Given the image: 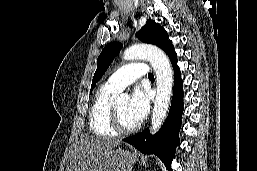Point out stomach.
<instances>
[{"label":"stomach","instance_id":"stomach-1","mask_svg":"<svg viewBox=\"0 0 257 171\" xmlns=\"http://www.w3.org/2000/svg\"><path fill=\"white\" fill-rule=\"evenodd\" d=\"M137 155L125 149H112L102 154L90 171H131Z\"/></svg>","mask_w":257,"mask_h":171}]
</instances>
